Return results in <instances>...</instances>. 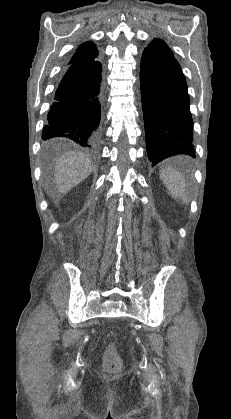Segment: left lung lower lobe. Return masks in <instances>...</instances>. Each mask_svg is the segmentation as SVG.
Listing matches in <instances>:
<instances>
[{
    "instance_id": "1",
    "label": "left lung lower lobe",
    "mask_w": 231,
    "mask_h": 419,
    "mask_svg": "<svg viewBox=\"0 0 231 419\" xmlns=\"http://www.w3.org/2000/svg\"><path fill=\"white\" fill-rule=\"evenodd\" d=\"M140 85L147 153L152 166L174 156L195 157L190 99L177 60L143 51Z\"/></svg>"
}]
</instances>
